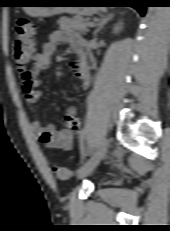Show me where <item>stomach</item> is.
Returning a JSON list of instances; mask_svg holds the SVG:
<instances>
[{"label":"stomach","instance_id":"stomach-1","mask_svg":"<svg viewBox=\"0 0 170 231\" xmlns=\"http://www.w3.org/2000/svg\"><path fill=\"white\" fill-rule=\"evenodd\" d=\"M29 3L37 4H66L65 0H40ZM24 11L34 17H50L59 13H70L76 15H90L96 10L94 7H24Z\"/></svg>","mask_w":170,"mask_h":231}]
</instances>
